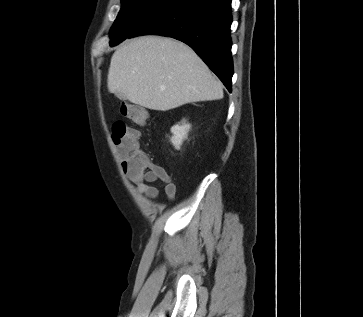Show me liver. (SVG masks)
Returning <instances> with one entry per match:
<instances>
[{
    "label": "liver",
    "instance_id": "6515ba94",
    "mask_svg": "<svg viewBox=\"0 0 363 317\" xmlns=\"http://www.w3.org/2000/svg\"><path fill=\"white\" fill-rule=\"evenodd\" d=\"M107 87L119 98L158 111L223 98L222 83L190 47L159 36L135 38L118 48Z\"/></svg>",
    "mask_w": 363,
    "mask_h": 317
}]
</instances>
